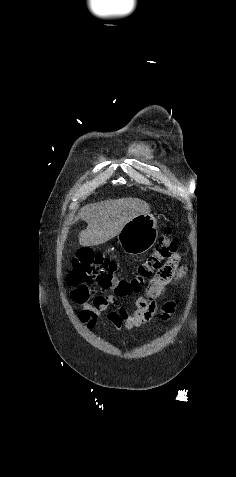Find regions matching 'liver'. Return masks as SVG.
I'll use <instances>...</instances> for the list:
<instances>
[{
	"label": "liver",
	"instance_id": "6515ba94",
	"mask_svg": "<svg viewBox=\"0 0 236 477\" xmlns=\"http://www.w3.org/2000/svg\"><path fill=\"white\" fill-rule=\"evenodd\" d=\"M150 206L137 198H122L89 204L75 218L88 226L79 234L82 246H97L120 233L127 222L141 214H149Z\"/></svg>",
	"mask_w": 236,
	"mask_h": 477
}]
</instances>
